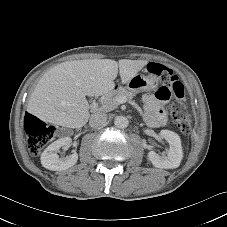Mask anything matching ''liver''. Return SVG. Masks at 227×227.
Listing matches in <instances>:
<instances>
[{"label":"liver","instance_id":"6515ba94","mask_svg":"<svg viewBox=\"0 0 227 227\" xmlns=\"http://www.w3.org/2000/svg\"><path fill=\"white\" fill-rule=\"evenodd\" d=\"M147 64L146 60L128 59L63 62L42 76L29 98L27 110L44 122L80 128L90 117L86 96L112 91L118 71L122 84L128 83Z\"/></svg>","mask_w":227,"mask_h":227}]
</instances>
